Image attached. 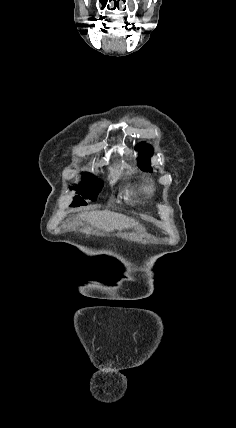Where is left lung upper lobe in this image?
Segmentation results:
<instances>
[{
	"instance_id": "obj_1",
	"label": "left lung upper lobe",
	"mask_w": 236,
	"mask_h": 428,
	"mask_svg": "<svg viewBox=\"0 0 236 428\" xmlns=\"http://www.w3.org/2000/svg\"><path fill=\"white\" fill-rule=\"evenodd\" d=\"M135 149L139 152V157L137 159L138 166L145 171L152 172V168L150 167V157L154 153L153 148L150 145L145 144V142H141L136 145Z\"/></svg>"
}]
</instances>
